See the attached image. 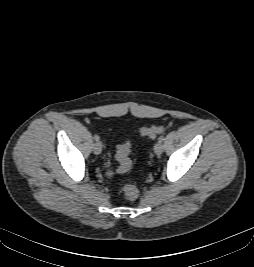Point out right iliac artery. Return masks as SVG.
<instances>
[{
	"label": "right iliac artery",
	"mask_w": 254,
	"mask_h": 267,
	"mask_svg": "<svg viewBox=\"0 0 254 267\" xmlns=\"http://www.w3.org/2000/svg\"><path fill=\"white\" fill-rule=\"evenodd\" d=\"M94 139H95L96 141H99V140H100V137H99L97 134H95V135H94Z\"/></svg>",
	"instance_id": "1"
}]
</instances>
